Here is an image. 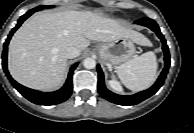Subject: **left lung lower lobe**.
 Instances as JSON below:
<instances>
[{
  "label": "left lung lower lobe",
  "mask_w": 194,
  "mask_h": 133,
  "mask_svg": "<svg viewBox=\"0 0 194 133\" xmlns=\"http://www.w3.org/2000/svg\"><path fill=\"white\" fill-rule=\"evenodd\" d=\"M135 23L150 28L161 39L162 49L164 51L165 67H164L161 75L159 76L158 80L151 88H149L145 91L139 92L135 95L122 96V95H117V94L110 92L105 87L104 75H103V72H102L100 66L98 65L97 70H98V92H99V94L104 99H106L112 103L119 104V105H126V106L127 105H135V104H138V103L142 102L143 100L149 98L153 94H155L159 90V88L163 85L165 77H166L168 69H169V66H170V55H169L168 46L166 44V40H165L164 36L160 32V29H159V26L157 25V23L154 20L147 18V17L139 19V20L135 21Z\"/></svg>",
  "instance_id": "1"
}]
</instances>
